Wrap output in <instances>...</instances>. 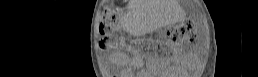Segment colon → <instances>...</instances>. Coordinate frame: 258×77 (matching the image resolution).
Wrapping results in <instances>:
<instances>
[{
  "instance_id": "obj_1",
  "label": "colon",
  "mask_w": 258,
  "mask_h": 77,
  "mask_svg": "<svg viewBox=\"0 0 258 77\" xmlns=\"http://www.w3.org/2000/svg\"><path fill=\"white\" fill-rule=\"evenodd\" d=\"M100 34L104 39L114 35L119 27V14L117 11L105 8L101 13ZM196 35L195 25L190 20H185L180 26L168 31L167 37L173 42H182L194 39Z\"/></svg>"
}]
</instances>
